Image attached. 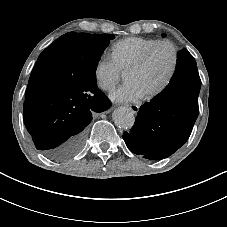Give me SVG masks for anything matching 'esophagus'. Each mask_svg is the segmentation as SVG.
<instances>
[{"instance_id":"1","label":"esophagus","mask_w":227,"mask_h":227,"mask_svg":"<svg viewBox=\"0 0 227 227\" xmlns=\"http://www.w3.org/2000/svg\"><path fill=\"white\" fill-rule=\"evenodd\" d=\"M127 107L134 113L136 114L139 111L140 106L135 105V104H128Z\"/></svg>"}]
</instances>
